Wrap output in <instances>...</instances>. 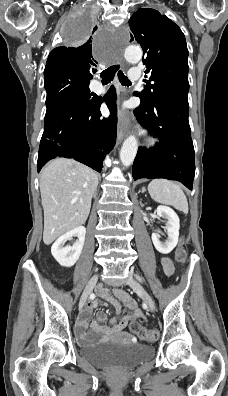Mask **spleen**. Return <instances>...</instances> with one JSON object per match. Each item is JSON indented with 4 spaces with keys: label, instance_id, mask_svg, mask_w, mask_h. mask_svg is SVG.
Masks as SVG:
<instances>
[{
    "label": "spleen",
    "instance_id": "obj_1",
    "mask_svg": "<svg viewBox=\"0 0 228 396\" xmlns=\"http://www.w3.org/2000/svg\"><path fill=\"white\" fill-rule=\"evenodd\" d=\"M148 191L153 200L171 205L175 209L188 213L187 198L177 184L166 179H154L148 185Z\"/></svg>",
    "mask_w": 228,
    "mask_h": 396
}]
</instances>
